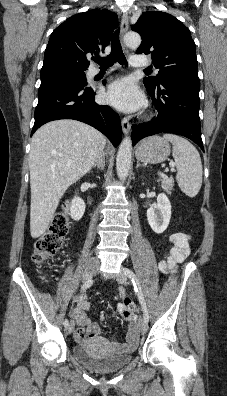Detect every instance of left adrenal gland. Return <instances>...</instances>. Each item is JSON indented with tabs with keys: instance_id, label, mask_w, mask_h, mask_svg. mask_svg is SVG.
I'll return each mask as SVG.
<instances>
[{
	"instance_id": "left-adrenal-gland-1",
	"label": "left adrenal gland",
	"mask_w": 227,
	"mask_h": 396,
	"mask_svg": "<svg viewBox=\"0 0 227 396\" xmlns=\"http://www.w3.org/2000/svg\"><path fill=\"white\" fill-rule=\"evenodd\" d=\"M140 166H144V165L140 164V162L137 161L136 168H138V167H140Z\"/></svg>"
}]
</instances>
